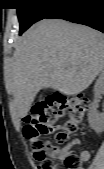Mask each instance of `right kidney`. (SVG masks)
I'll return each mask as SVG.
<instances>
[{
	"instance_id": "obj_1",
	"label": "right kidney",
	"mask_w": 104,
	"mask_h": 169,
	"mask_svg": "<svg viewBox=\"0 0 104 169\" xmlns=\"http://www.w3.org/2000/svg\"><path fill=\"white\" fill-rule=\"evenodd\" d=\"M104 92V73H101L96 80L95 86H94V100L91 106V109L89 111V124L91 128L100 133L104 130V114L98 113V102L99 98Z\"/></svg>"
}]
</instances>
